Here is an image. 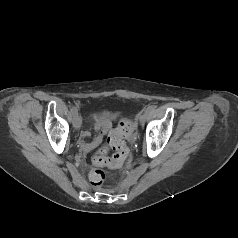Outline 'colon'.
<instances>
[{"instance_id":"obj_1","label":"colon","mask_w":238,"mask_h":238,"mask_svg":"<svg viewBox=\"0 0 238 238\" xmlns=\"http://www.w3.org/2000/svg\"><path fill=\"white\" fill-rule=\"evenodd\" d=\"M135 127L128 120H122L108 137V146L115 151L113 157L107 156V148H103L93 157V163L98 167L106 166L110 170H116L128 155L125 139L134 133ZM90 182L93 186H100L106 178V172L102 169L91 171Z\"/></svg>"}]
</instances>
